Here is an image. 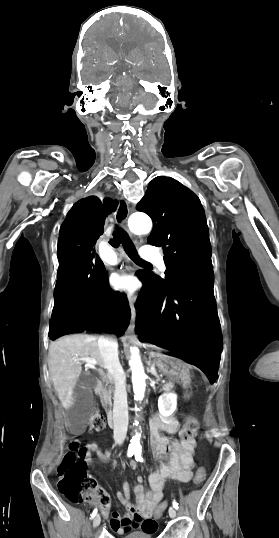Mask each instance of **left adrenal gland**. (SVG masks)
Listing matches in <instances>:
<instances>
[{
	"label": "left adrenal gland",
	"instance_id": "1",
	"mask_svg": "<svg viewBox=\"0 0 279 538\" xmlns=\"http://www.w3.org/2000/svg\"><path fill=\"white\" fill-rule=\"evenodd\" d=\"M149 362H150V364H152V360H151V358H149ZM155 376H156L157 380H160L158 374H155Z\"/></svg>",
	"mask_w": 279,
	"mask_h": 538
}]
</instances>
